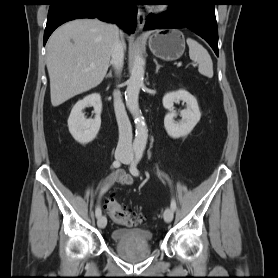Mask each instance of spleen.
I'll use <instances>...</instances> for the list:
<instances>
[{
	"label": "spleen",
	"mask_w": 278,
	"mask_h": 278,
	"mask_svg": "<svg viewBox=\"0 0 278 278\" xmlns=\"http://www.w3.org/2000/svg\"><path fill=\"white\" fill-rule=\"evenodd\" d=\"M187 44L189 46L190 59L198 64L199 73L212 78L213 63L208 51L194 39L188 38Z\"/></svg>",
	"instance_id": "obj_1"
}]
</instances>
